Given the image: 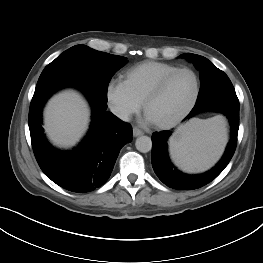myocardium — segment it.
<instances>
[{
    "instance_id": "f54148a6",
    "label": "myocardium",
    "mask_w": 263,
    "mask_h": 263,
    "mask_svg": "<svg viewBox=\"0 0 263 263\" xmlns=\"http://www.w3.org/2000/svg\"><path fill=\"white\" fill-rule=\"evenodd\" d=\"M182 72H189L194 76L195 79V91L194 94L190 100V102L188 103V105L184 108V110L179 113L177 116H175L174 118L168 120V121H164V122H154V125L157 128L160 129H167V128H171L173 126H175L176 124H178L179 122H181L195 107L199 95H200V91H201V81H200V77L198 75V73L193 70L192 68L189 67H182V68H178L172 72H170L169 74L165 75L156 85L155 87L148 93V95L146 96V98L143 101V110L146 113L147 109L149 107V105L160 96V94L163 92V90L165 89V87L167 86V84L169 83V81L174 78L176 75L182 73Z\"/></svg>"
}]
</instances>
